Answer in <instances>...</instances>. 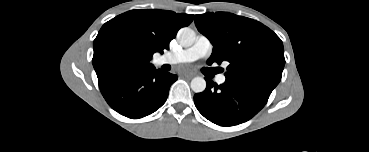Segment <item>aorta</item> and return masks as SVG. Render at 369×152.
Returning a JSON list of instances; mask_svg holds the SVG:
<instances>
[{"label": "aorta", "mask_w": 369, "mask_h": 152, "mask_svg": "<svg viewBox=\"0 0 369 152\" xmlns=\"http://www.w3.org/2000/svg\"><path fill=\"white\" fill-rule=\"evenodd\" d=\"M177 39L184 47H189L194 44L196 39L195 32L188 28H181L177 33ZM191 89L195 93H201L206 89V81L202 77H195L191 81Z\"/></svg>", "instance_id": "aorta-1"}]
</instances>
